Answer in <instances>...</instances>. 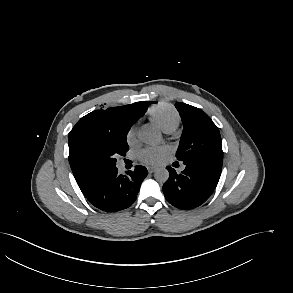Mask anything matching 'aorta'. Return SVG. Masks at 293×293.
<instances>
[{"label":"aorta","instance_id":"obj_1","mask_svg":"<svg viewBox=\"0 0 293 293\" xmlns=\"http://www.w3.org/2000/svg\"><path fill=\"white\" fill-rule=\"evenodd\" d=\"M139 139L149 145H157L162 140L161 133L152 126H145L139 131ZM154 178L160 183H164L169 178L166 168H158L154 173Z\"/></svg>","mask_w":293,"mask_h":293}]
</instances>
